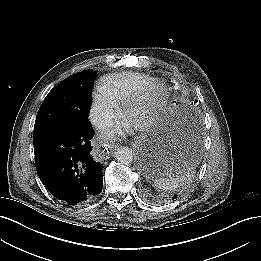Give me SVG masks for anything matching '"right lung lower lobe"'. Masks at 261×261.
<instances>
[{
  "label": "right lung lower lobe",
  "mask_w": 261,
  "mask_h": 261,
  "mask_svg": "<svg viewBox=\"0 0 261 261\" xmlns=\"http://www.w3.org/2000/svg\"><path fill=\"white\" fill-rule=\"evenodd\" d=\"M93 132L88 119L80 118L33 134L36 170L53 196L78 203L102 192L103 165L90 154ZM81 139L85 141L80 146ZM78 169H83V174L76 181Z\"/></svg>",
  "instance_id": "1"
}]
</instances>
